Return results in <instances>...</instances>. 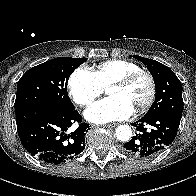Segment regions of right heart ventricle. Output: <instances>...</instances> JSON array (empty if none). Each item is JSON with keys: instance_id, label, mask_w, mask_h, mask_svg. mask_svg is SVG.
Masks as SVG:
<instances>
[{"instance_id": "right-heart-ventricle-1", "label": "right heart ventricle", "mask_w": 196, "mask_h": 196, "mask_svg": "<svg viewBox=\"0 0 196 196\" xmlns=\"http://www.w3.org/2000/svg\"><path fill=\"white\" fill-rule=\"evenodd\" d=\"M137 70H140V67L134 62L124 59H112L100 63L94 73L100 84L105 88L114 80Z\"/></svg>"}]
</instances>
